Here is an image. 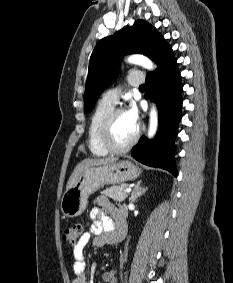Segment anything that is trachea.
Wrapping results in <instances>:
<instances>
[{
  "mask_svg": "<svg viewBox=\"0 0 233 283\" xmlns=\"http://www.w3.org/2000/svg\"><path fill=\"white\" fill-rule=\"evenodd\" d=\"M139 89H145V85H141Z\"/></svg>",
  "mask_w": 233,
  "mask_h": 283,
  "instance_id": "1",
  "label": "trachea"
}]
</instances>
